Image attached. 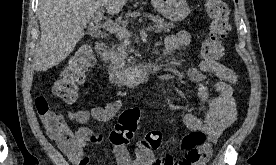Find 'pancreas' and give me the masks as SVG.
I'll return each mask as SVG.
<instances>
[{
	"mask_svg": "<svg viewBox=\"0 0 276 165\" xmlns=\"http://www.w3.org/2000/svg\"><path fill=\"white\" fill-rule=\"evenodd\" d=\"M150 19L154 22L155 32H169L170 28L174 27V24L165 22L159 16H150ZM119 44H115L107 53V60L111 62L113 67L122 68L125 65V59H127L129 38L119 37Z\"/></svg>",
	"mask_w": 276,
	"mask_h": 165,
	"instance_id": "1",
	"label": "pancreas"
}]
</instances>
